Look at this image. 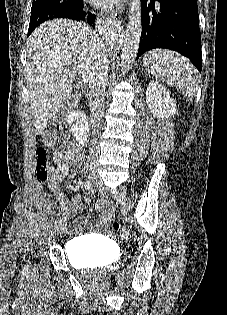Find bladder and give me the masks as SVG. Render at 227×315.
Here are the masks:
<instances>
[{
	"label": "bladder",
	"instance_id": "bladder-1",
	"mask_svg": "<svg viewBox=\"0 0 227 315\" xmlns=\"http://www.w3.org/2000/svg\"><path fill=\"white\" fill-rule=\"evenodd\" d=\"M71 246L76 250L72 263L77 268L107 266L115 258L114 250L109 244L90 237L74 239Z\"/></svg>",
	"mask_w": 227,
	"mask_h": 315
}]
</instances>
